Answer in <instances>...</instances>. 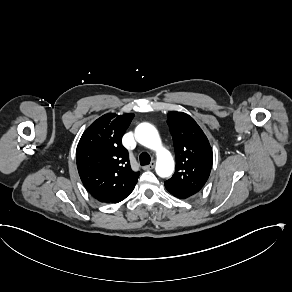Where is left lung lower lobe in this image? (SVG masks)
<instances>
[{
  "mask_svg": "<svg viewBox=\"0 0 292 292\" xmlns=\"http://www.w3.org/2000/svg\"><path fill=\"white\" fill-rule=\"evenodd\" d=\"M165 187L169 193H171L173 196L180 198V199H186V198H189V197L193 196L194 194H196V193H193L191 191L180 190L177 188L169 187L167 185H165Z\"/></svg>",
  "mask_w": 292,
  "mask_h": 292,
  "instance_id": "0a47b994",
  "label": "left lung lower lobe"
}]
</instances>
